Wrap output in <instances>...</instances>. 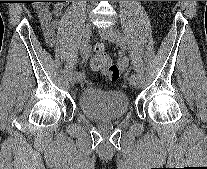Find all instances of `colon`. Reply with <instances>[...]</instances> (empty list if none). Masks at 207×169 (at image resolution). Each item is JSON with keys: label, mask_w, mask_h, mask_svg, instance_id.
<instances>
[{"label": "colon", "mask_w": 207, "mask_h": 169, "mask_svg": "<svg viewBox=\"0 0 207 169\" xmlns=\"http://www.w3.org/2000/svg\"><path fill=\"white\" fill-rule=\"evenodd\" d=\"M90 65L93 71L105 76L110 81H116L119 78L118 67L113 64L110 56L102 49H97Z\"/></svg>", "instance_id": "1"}]
</instances>
